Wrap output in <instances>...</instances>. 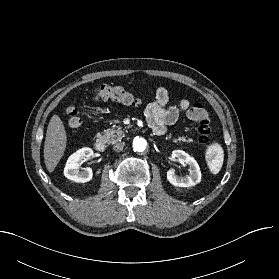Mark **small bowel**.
<instances>
[{
  "label": "small bowel",
  "mask_w": 279,
  "mask_h": 279,
  "mask_svg": "<svg viewBox=\"0 0 279 279\" xmlns=\"http://www.w3.org/2000/svg\"><path fill=\"white\" fill-rule=\"evenodd\" d=\"M169 91L160 87L156 91L155 100L149 103L145 109L148 124L157 135L165 134L167 125L175 123L181 115H187L190 102L182 99L178 105L167 106Z\"/></svg>",
  "instance_id": "c3829d8e"
}]
</instances>
